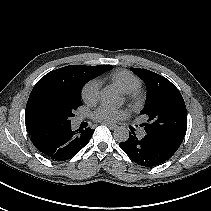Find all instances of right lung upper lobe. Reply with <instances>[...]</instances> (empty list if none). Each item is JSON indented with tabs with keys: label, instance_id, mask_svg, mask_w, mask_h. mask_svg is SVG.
Masks as SVG:
<instances>
[{
	"label": "right lung upper lobe",
	"instance_id": "obj_1",
	"mask_svg": "<svg viewBox=\"0 0 211 211\" xmlns=\"http://www.w3.org/2000/svg\"><path fill=\"white\" fill-rule=\"evenodd\" d=\"M111 68V65H69L53 70L42 77L34 86L26 105L25 123L29 134L31 135L36 132L33 123L32 109L35 101L39 97L46 94H59L71 90L78 81L86 80L92 75L95 77Z\"/></svg>",
	"mask_w": 211,
	"mask_h": 211
}]
</instances>
